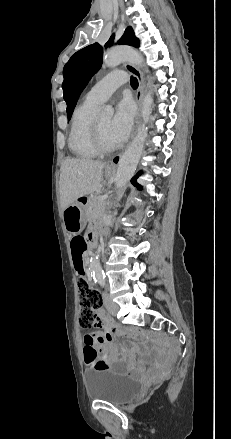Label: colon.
Segmentation results:
<instances>
[{"label":"colon","instance_id":"colon-1","mask_svg":"<svg viewBox=\"0 0 231 439\" xmlns=\"http://www.w3.org/2000/svg\"><path fill=\"white\" fill-rule=\"evenodd\" d=\"M73 242L76 246L78 245L79 242H81L83 246H85V242L82 239H74ZM80 268L82 267L80 266ZM76 284H77V290L80 300V324L85 328H91L95 324L96 313L101 305L100 296L98 292L91 286L85 274L82 273L77 278ZM111 331L120 334H135L137 337L147 342H150L160 347L161 349L171 353L172 355L167 361L166 367L160 373L161 379L167 378L169 374V368L173 363V359H174V349L167 341L158 339L155 336L150 335L145 331L139 329H130L128 327H123V326L113 325L111 326ZM86 359H87V366L89 367L90 364L92 363V360L94 359V353L87 352ZM95 366L97 369H104L107 367V364L102 361H97Z\"/></svg>","mask_w":231,"mask_h":439}]
</instances>
